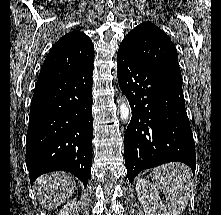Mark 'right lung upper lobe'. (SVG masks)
Masks as SVG:
<instances>
[{
	"label": "right lung upper lobe",
	"mask_w": 221,
	"mask_h": 215,
	"mask_svg": "<svg viewBox=\"0 0 221 215\" xmlns=\"http://www.w3.org/2000/svg\"><path fill=\"white\" fill-rule=\"evenodd\" d=\"M93 60L94 45L91 39L79 30L69 32L48 53L36 86L67 77Z\"/></svg>",
	"instance_id": "1"
}]
</instances>
